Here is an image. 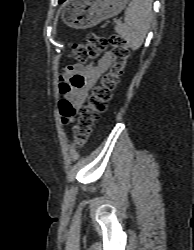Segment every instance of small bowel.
Here are the masks:
<instances>
[{"label": "small bowel", "mask_w": 194, "mask_h": 250, "mask_svg": "<svg viewBox=\"0 0 194 250\" xmlns=\"http://www.w3.org/2000/svg\"><path fill=\"white\" fill-rule=\"evenodd\" d=\"M111 64L112 56L106 52L96 62L88 65L76 63L65 67L59 82L60 93L63 96L59 107L65 121L70 120L74 114H68L66 109L75 110L85 104L90 89L96 85Z\"/></svg>", "instance_id": "small-bowel-1"}]
</instances>
